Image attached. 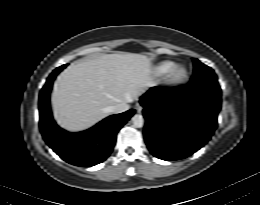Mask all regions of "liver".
<instances>
[{
	"label": "liver",
	"instance_id": "liver-1",
	"mask_svg": "<svg viewBox=\"0 0 260 205\" xmlns=\"http://www.w3.org/2000/svg\"><path fill=\"white\" fill-rule=\"evenodd\" d=\"M154 85L149 57L105 54L70 65L57 78L52 94L54 117L72 132L88 129L110 113L107 107L129 103Z\"/></svg>",
	"mask_w": 260,
	"mask_h": 205
}]
</instances>
